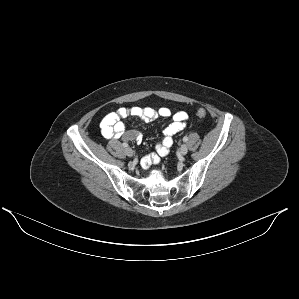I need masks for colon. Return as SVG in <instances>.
Listing matches in <instances>:
<instances>
[{
    "mask_svg": "<svg viewBox=\"0 0 299 299\" xmlns=\"http://www.w3.org/2000/svg\"><path fill=\"white\" fill-rule=\"evenodd\" d=\"M197 117L204 118L206 116V111L204 109H199L196 113Z\"/></svg>",
    "mask_w": 299,
    "mask_h": 299,
    "instance_id": "5ec220e1",
    "label": "colon"
}]
</instances>
